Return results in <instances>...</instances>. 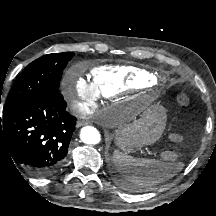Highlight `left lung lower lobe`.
Returning <instances> with one entry per match:
<instances>
[{"label":"left lung lower lobe","mask_w":216,"mask_h":216,"mask_svg":"<svg viewBox=\"0 0 216 216\" xmlns=\"http://www.w3.org/2000/svg\"><path fill=\"white\" fill-rule=\"evenodd\" d=\"M115 178H116L117 183L125 189H135L136 188V186L134 184H131L123 174H121L120 176H116Z\"/></svg>","instance_id":"obj_1"}]
</instances>
